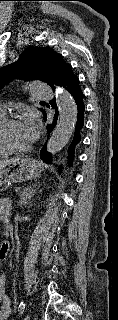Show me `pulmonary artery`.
I'll list each match as a JSON object with an SVG mask.
<instances>
[{
    "label": "pulmonary artery",
    "instance_id": "e3ab8cb5",
    "mask_svg": "<svg viewBox=\"0 0 118 320\" xmlns=\"http://www.w3.org/2000/svg\"><path fill=\"white\" fill-rule=\"evenodd\" d=\"M31 93L39 100H48L53 97L52 90L42 83H33L31 85ZM4 107L0 105V111L4 112Z\"/></svg>",
    "mask_w": 118,
    "mask_h": 320
}]
</instances>
